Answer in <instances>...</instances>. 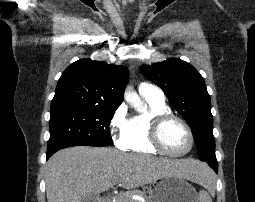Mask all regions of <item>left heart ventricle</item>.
<instances>
[{
  "label": "left heart ventricle",
  "mask_w": 255,
  "mask_h": 202,
  "mask_svg": "<svg viewBox=\"0 0 255 202\" xmlns=\"http://www.w3.org/2000/svg\"><path fill=\"white\" fill-rule=\"evenodd\" d=\"M161 139L163 145L172 152H183L189 146L188 133L177 121H170L164 125Z\"/></svg>",
  "instance_id": "left-heart-ventricle-1"
}]
</instances>
